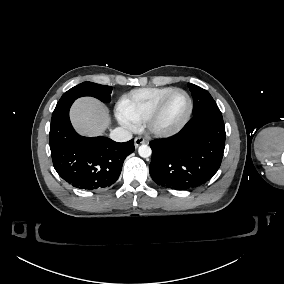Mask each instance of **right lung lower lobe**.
Returning <instances> with one entry per match:
<instances>
[{"label":"right lung lower lobe","instance_id":"obj_1","mask_svg":"<svg viewBox=\"0 0 284 284\" xmlns=\"http://www.w3.org/2000/svg\"><path fill=\"white\" fill-rule=\"evenodd\" d=\"M73 102L56 106L50 126V149L55 170L78 189L96 190L118 179L134 140L118 143L106 137H83L73 129L69 109Z\"/></svg>","mask_w":284,"mask_h":284}]
</instances>
